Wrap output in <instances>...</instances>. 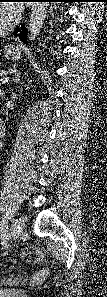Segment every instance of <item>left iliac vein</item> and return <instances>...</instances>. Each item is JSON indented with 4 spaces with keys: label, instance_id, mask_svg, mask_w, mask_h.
Listing matches in <instances>:
<instances>
[{
    "label": "left iliac vein",
    "instance_id": "4c4485c4",
    "mask_svg": "<svg viewBox=\"0 0 107 297\" xmlns=\"http://www.w3.org/2000/svg\"><path fill=\"white\" fill-rule=\"evenodd\" d=\"M25 228V218L24 216L18 217L11 226L10 236L17 238L23 233Z\"/></svg>",
    "mask_w": 107,
    "mask_h": 297
}]
</instances>
